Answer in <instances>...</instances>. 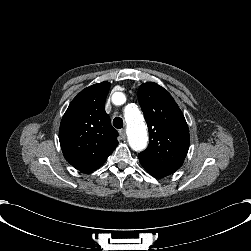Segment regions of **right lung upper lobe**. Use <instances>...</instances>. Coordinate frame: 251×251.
Returning <instances> with one entry per match:
<instances>
[{
  "mask_svg": "<svg viewBox=\"0 0 251 251\" xmlns=\"http://www.w3.org/2000/svg\"><path fill=\"white\" fill-rule=\"evenodd\" d=\"M110 83L82 90L70 103L60 124L59 141L65 159L82 173L104 164L116 148L118 132L105 112Z\"/></svg>",
  "mask_w": 251,
  "mask_h": 251,
  "instance_id": "1",
  "label": "right lung upper lobe"
}]
</instances>
